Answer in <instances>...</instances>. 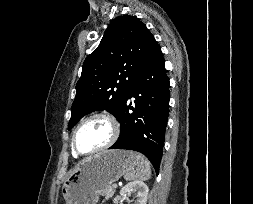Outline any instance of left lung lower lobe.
Wrapping results in <instances>:
<instances>
[{"mask_svg":"<svg viewBox=\"0 0 253 204\" xmlns=\"http://www.w3.org/2000/svg\"><path fill=\"white\" fill-rule=\"evenodd\" d=\"M169 87L163 54L157 44L128 94L118 118L120 136L109 149L141 152L159 171L169 112ZM131 97L135 98L134 107L128 104Z\"/></svg>","mask_w":253,"mask_h":204,"instance_id":"1","label":"left lung lower lobe"}]
</instances>
